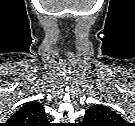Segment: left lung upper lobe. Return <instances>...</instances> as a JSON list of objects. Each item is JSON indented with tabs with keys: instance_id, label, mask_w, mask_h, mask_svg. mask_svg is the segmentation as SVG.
I'll list each match as a JSON object with an SVG mask.
<instances>
[{
	"instance_id": "5c2ea615",
	"label": "left lung upper lobe",
	"mask_w": 135,
	"mask_h": 126,
	"mask_svg": "<svg viewBox=\"0 0 135 126\" xmlns=\"http://www.w3.org/2000/svg\"><path fill=\"white\" fill-rule=\"evenodd\" d=\"M84 123L87 126H121L122 118L109 107L97 104L86 110Z\"/></svg>"
}]
</instances>
